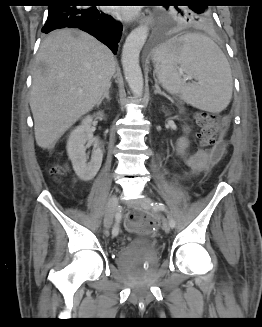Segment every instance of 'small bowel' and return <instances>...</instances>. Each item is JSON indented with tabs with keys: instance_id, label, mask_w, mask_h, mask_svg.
Returning a JSON list of instances; mask_svg holds the SVG:
<instances>
[{
	"instance_id": "1",
	"label": "small bowel",
	"mask_w": 262,
	"mask_h": 327,
	"mask_svg": "<svg viewBox=\"0 0 262 327\" xmlns=\"http://www.w3.org/2000/svg\"><path fill=\"white\" fill-rule=\"evenodd\" d=\"M184 162L194 173H202L206 171L212 163L209 156L203 151L186 153L184 156Z\"/></svg>"
}]
</instances>
